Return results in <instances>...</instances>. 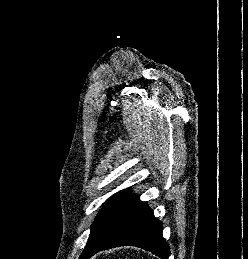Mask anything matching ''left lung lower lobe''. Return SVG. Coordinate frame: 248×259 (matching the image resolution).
Here are the masks:
<instances>
[{"label": "left lung lower lobe", "instance_id": "1", "mask_svg": "<svg viewBox=\"0 0 248 259\" xmlns=\"http://www.w3.org/2000/svg\"><path fill=\"white\" fill-rule=\"evenodd\" d=\"M118 246H136L162 259H168L169 247L162 237V224L145 202L138 199L103 224L89 239L79 259H89L100 250Z\"/></svg>", "mask_w": 248, "mask_h": 259}]
</instances>
